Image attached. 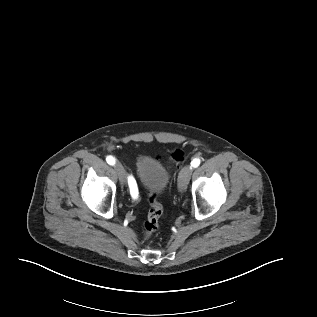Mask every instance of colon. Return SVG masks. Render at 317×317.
I'll list each match as a JSON object with an SVG mask.
<instances>
[{
	"label": "colon",
	"instance_id": "1",
	"mask_svg": "<svg viewBox=\"0 0 317 317\" xmlns=\"http://www.w3.org/2000/svg\"><path fill=\"white\" fill-rule=\"evenodd\" d=\"M171 162L180 163L183 160V152L179 149L174 150L170 156ZM150 209L147 215V219L144 223V235L146 238H150L155 233L159 226V220L163 212L161 203L158 201L157 196L151 194L149 196Z\"/></svg>",
	"mask_w": 317,
	"mask_h": 317
}]
</instances>
